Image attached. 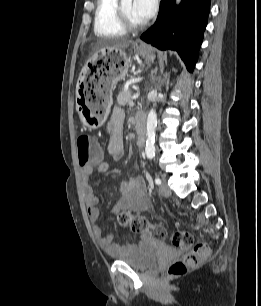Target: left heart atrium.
Masks as SVG:
<instances>
[{
    "instance_id": "39dd6f15",
    "label": "left heart atrium",
    "mask_w": 261,
    "mask_h": 306,
    "mask_svg": "<svg viewBox=\"0 0 261 306\" xmlns=\"http://www.w3.org/2000/svg\"><path fill=\"white\" fill-rule=\"evenodd\" d=\"M158 0H134V11L142 20H148L157 9Z\"/></svg>"
}]
</instances>
